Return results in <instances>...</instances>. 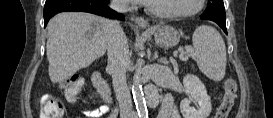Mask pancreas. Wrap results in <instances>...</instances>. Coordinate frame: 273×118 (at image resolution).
<instances>
[{
	"mask_svg": "<svg viewBox=\"0 0 273 118\" xmlns=\"http://www.w3.org/2000/svg\"><path fill=\"white\" fill-rule=\"evenodd\" d=\"M185 55V58L187 59L190 56L194 55L192 47H186V51L183 53Z\"/></svg>",
	"mask_w": 273,
	"mask_h": 118,
	"instance_id": "pancreas-1",
	"label": "pancreas"
}]
</instances>
